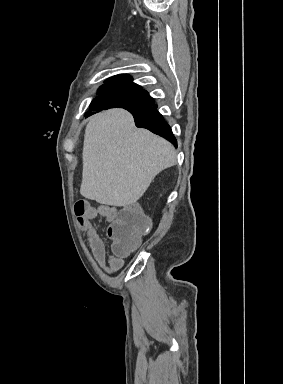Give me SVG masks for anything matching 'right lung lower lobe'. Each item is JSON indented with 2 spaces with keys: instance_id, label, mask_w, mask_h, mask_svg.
<instances>
[{
  "instance_id": "98d812e1",
  "label": "right lung lower lobe",
  "mask_w": 283,
  "mask_h": 384,
  "mask_svg": "<svg viewBox=\"0 0 283 384\" xmlns=\"http://www.w3.org/2000/svg\"><path fill=\"white\" fill-rule=\"evenodd\" d=\"M123 108L128 110L133 115L137 127L146 128L151 132L164 137L175 146H177V141L171 131L170 126L165 122L162 115L158 112L156 105L153 104L151 107L145 109ZM90 111L101 110L90 109ZM92 114L93 113L90 112L86 113L87 116Z\"/></svg>"
}]
</instances>
